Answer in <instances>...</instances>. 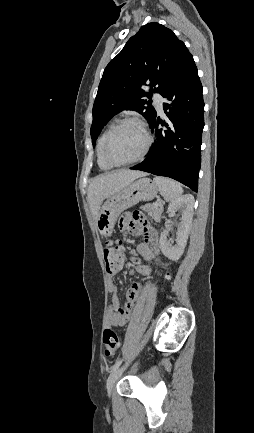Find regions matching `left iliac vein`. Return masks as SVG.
<instances>
[{
	"instance_id": "4c4485c4",
	"label": "left iliac vein",
	"mask_w": 254,
	"mask_h": 433,
	"mask_svg": "<svg viewBox=\"0 0 254 433\" xmlns=\"http://www.w3.org/2000/svg\"><path fill=\"white\" fill-rule=\"evenodd\" d=\"M126 366H121L118 367L115 371H113L107 381V392L109 395H111L112 390L116 384V381L118 380V378L120 377V375L122 374V372L125 370Z\"/></svg>"
}]
</instances>
